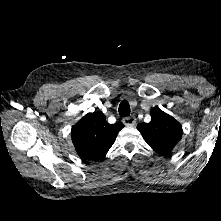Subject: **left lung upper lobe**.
I'll list each match as a JSON object with an SVG mask.
<instances>
[{
	"label": "left lung upper lobe",
	"mask_w": 221,
	"mask_h": 221,
	"mask_svg": "<svg viewBox=\"0 0 221 221\" xmlns=\"http://www.w3.org/2000/svg\"><path fill=\"white\" fill-rule=\"evenodd\" d=\"M150 115L151 122L141 123L137 128L154 151L166 156L181 139L182 125L160 109L151 110Z\"/></svg>",
	"instance_id": "1"
}]
</instances>
